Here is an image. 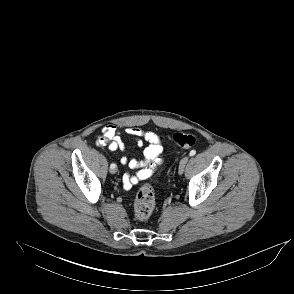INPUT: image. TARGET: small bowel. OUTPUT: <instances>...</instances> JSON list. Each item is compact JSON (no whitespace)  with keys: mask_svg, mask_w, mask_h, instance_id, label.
Listing matches in <instances>:
<instances>
[{"mask_svg":"<svg viewBox=\"0 0 294 294\" xmlns=\"http://www.w3.org/2000/svg\"><path fill=\"white\" fill-rule=\"evenodd\" d=\"M124 132L136 142L138 146L145 140L149 145L144 149V160L128 159L125 154L129 147L122 140L117 127L113 124L102 128V134L97 137L98 146H107L111 151H119L123 154L122 164H127L130 169H139L135 174L125 173L122 181L125 189H130L133 185L152 176L158 165L162 163L163 147L161 137L151 131H145L140 127L132 126L124 129Z\"/></svg>","mask_w":294,"mask_h":294,"instance_id":"small-bowel-1","label":"small bowel"}]
</instances>
